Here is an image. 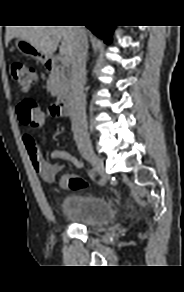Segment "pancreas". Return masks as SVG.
Returning a JSON list of instances; mask_svg holds the SVG:
<instances>
[{
  "label": "pancreas",
  "mask_w": 184,
  "mask_h": 292,
  "mask_svg": "<svg viewBox=\"0 0 184 292\" xmlns=\"http://www.w3.org/2000/svg\"><path fill=\"white\" fill-rule=\"evenodd\" d=\"M69 87L67 77L65 75V68L59 67L58 70L52 72L47 81V90L52 96H58L64 93Z\"/></svg>",
  "instance_id": "pancreas-1"
}]
</instances>
